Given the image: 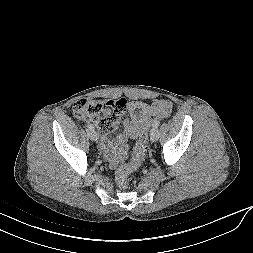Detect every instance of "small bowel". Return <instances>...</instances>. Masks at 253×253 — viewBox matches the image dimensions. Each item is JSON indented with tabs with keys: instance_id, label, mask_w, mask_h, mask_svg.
<instances>
[{
	"instance_id": "1",
	"label": "small bowel",
	"mask_w": 253,
	"mask_h": 253,
	"mask_svg": "<svg viewBox=\"0 0 253 253\" xmlns=\"http://www.w3.org/2000/svg\"><path fill=\"white\" fill-rule=\"evenodd\" d=\"M172 103L167 100H155L152 103L135 100L127 104L129 119L125 121V133L116 140L110 139V134L101 138L100 148L108 160L109 166L115 169L129 155L128 140L137 136L138 132L150 126L153 118H166L172 111ZM116 129V128H115Z\"/></svg>"
}]
</instances>
